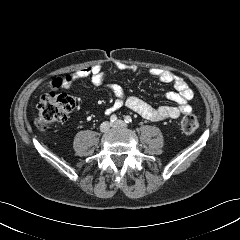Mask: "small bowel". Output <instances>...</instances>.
Instances as JSON below:
<instances>
[{"mask_svg": "<svg viewBox=\"0 0 240 240\" xmlns=\"http://www.w3.org/2000/svg\"><path fill=\"white\" fill-rule=\"evenodd\" d=\"M112 63L117 69L132 71L136 70L135 67L129 66L120 61H113ZM150 74L158 81L164 84H172L174 86L175 91L169 92L166 95L168 100L175 103L174 106L153 107L146 101L136 96L127 95L122 86L118 84H111L108 86V88L115 95V100L107 108V114L118 110L122 106H126L147 120L160 122L167 119H175L182 114L191 112L189 100L193 96V91L183 78L169 71L157 68L151 69ZM72 77L74 79L90 78L94 86H101L103 85L105 74L100 64H93L80 69L74 73Z\"/></svg>", "mask_w": 240, "mask_h": 240, "instance_id": "1", "label": "small bowel"}]
</instances>
